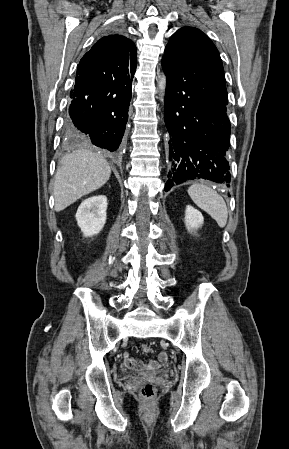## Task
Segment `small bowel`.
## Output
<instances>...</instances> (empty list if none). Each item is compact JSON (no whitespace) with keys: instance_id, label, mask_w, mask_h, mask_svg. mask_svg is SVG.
Wrapping results in <instances>:
<instances>
[{"instance_id":"small-bowel-1","label":"small bowel","mask_w":289,"mask_h":449,"mask_svg":"<svg viewBox=\"0 0 289 449\" xmlns=\"http://www.w3.org/2000/svg\"><path fill=\"white\" fill-rule=\"evenodd\" d=\"M169 355L167 353L161 352L158 356V360H150L146 363L135 360L132 358L129 353L124 354L123 364L126 368L132 370H155L160 367H163L168 363Z\"/></svg>"}]
</instances>
